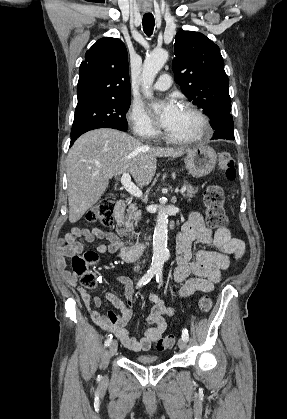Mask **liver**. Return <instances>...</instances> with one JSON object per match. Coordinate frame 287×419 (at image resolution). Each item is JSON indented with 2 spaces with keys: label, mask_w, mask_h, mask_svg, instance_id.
<instances>
[{
  "label": "liver",
  "mask_w": 287,
  "mask_h": 419,
  "mask_svg": "<svg viewBox=\"0 0 287 419\" xmlns=\"http://www.w3.org/2000/svg\"><path fill=\"white\" fill-rule=\"evenodd\" d=\"M190 150L151 148L127 133L109 128L83 134L67 156L70 223H76L98 202L113 177L129 173L143 188L155 175L157 157L176 158Z\"/></svg>",
  "instance_id": "6515ba94"
}]
</instances>
